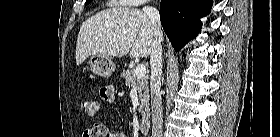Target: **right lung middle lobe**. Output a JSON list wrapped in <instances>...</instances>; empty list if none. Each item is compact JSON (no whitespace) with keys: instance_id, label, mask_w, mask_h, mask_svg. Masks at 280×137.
I'll list each match as a JSON object with an SVG mask.
<instances>
[{"instance_id":"obj_1","label":"right lung middle lobe","mask_w":280,"mask_h":137,"mask_svg":"<svg viewBox=\"0 0 280 137\" xmlns=\"http://www.w3.org/2000/svg\"><path fill=\"white\" fill-rule=\"evenodd\" d=\"M92 0H86V4H89Z\"/></svg>"}]
</instances>
